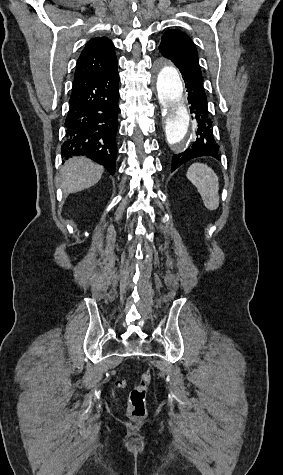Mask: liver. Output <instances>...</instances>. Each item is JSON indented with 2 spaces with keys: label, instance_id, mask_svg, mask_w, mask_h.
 <instances>
[{
  "label": "liver",
  "instance_id": "obj_1",
  "mask_svg": "<svg viewBox=\"0 0 283 475\" xmlns=\"http://www.w3.org/2000/svg\"><path fill=\"white\" fill-rule=\"evenodd\" d=\"M104 168L99 164H94L88 158H70L65 162L62 170V190L65 194H75L82 192L86 188H91L99 182Z\"/></svg>",
  "mask_w": 283,
  "mask_h": 475
}]
</instances>
